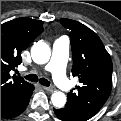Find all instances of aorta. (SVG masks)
Listing matches in <instances>:
<instances>
[{
  "label": "aorta",
  "instance_id": "1",
  "mask_svg": "<svg viewBox=\"0 0 121 121\" xmlns=\"http://www.w3.org/2000/svg\"><path fill=\"white\" fill-rule=\"evenodd\" d=\"M31 56L35 63L45 64L51 56L50 47L45 42L34 43L31 48ZM52 104L57 108H62L66 104V95L61 91H56L51 96Z\"/></svg>",
  "mask_w": 121,
  "mask_h": 121
}]
</instances>
